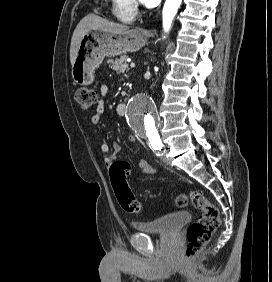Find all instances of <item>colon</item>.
I'll use <instances>...</instances> for the list:
<instances>
[{
  "label": "colon",
  "mask_w": 272,
  "mask_h": 282,
  "mask_svg": "<svg viewBox=\"0 0 272 282\" xmlns=\"http://www.w3.org/2000/svg\"><path fill=\"white\" fill-rule=\"evenodd\" d=\"M75 101L82 110H91L97 103V94L88 88H78L74 94ZM114 178L113 186L116 198L120 206L127 212L138 214L142 211L141 204L135 198L131 188L126 182L127 167L123 162H116L111 167ZM190 198L193 206L201 211L197 220L193 222L187 231V245L184 258L192 261L209 241L214 231L220 225L219 211L210 202L202 190H192L188 195L179 194L175 198L178 208H184Z\"/></svg>",
  "instance_id": "obj_1"
}]
</instances>
